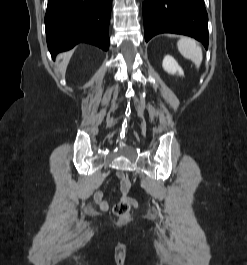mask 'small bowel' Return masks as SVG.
Here are the masks:
<instances>
[{"instance_id":"small-bowel-1","label":"small bowel","mask_w":247,"mask_h":265,"mask_svg":"<svg viewBox=\"0 0 247 265\" xmlns=\"http://www.w3.org/2000/svg\"><path fill=\"white\" fill-rule=\"evenodd\" d=\"M121 199L128 201L134 206L136 205L135 201L127 196V191H122ZM94 200L103 210H107L110 206L109 202L104 199V195L101 191H96L94 193Z\"/></svg>"}]
</instances>
